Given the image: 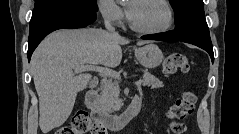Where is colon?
Returning <instances> with one entry per match:
<instances>
[{
	"mask_svg": "<svg viewBox=\"0 0 239 134\" xmlns=\"http://www.w3.org/2000/svg\"><path fill=\"white\" fill-rule=\"evenodd\" d=\"M163 70L166 74H174L177 71L187 72L188 60L183 54L169 55L163 63ZM196 100L193 91H186L170 107L168 117L172 133H186L187 127L180 120L193 113ZM55 134H105V131L104 127L94 122L86 111H78L72 116L70 124L59 128Z\"/></svg>",
	"mask_w": 239,
	"mask_h": 134,
	"instance_id": "5ec220e1",
	"label": "colon"
}]
</instances>
